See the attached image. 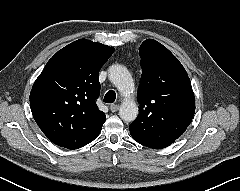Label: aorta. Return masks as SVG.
I'll use <instances>...</instances> for the list:
<instances>
[{
  "label": "aorta",
  "instance_id": "aorta-1",
  "mask_svg": "<svg viewBox=\"0 0 240 191\" xmlns=\"http://www.w3.org/2000/svg\"><path fill=\"white\" fill-rule=\"evenodd\" d=\"M109 80L115 85L119 92L125 97L119 109V116L125 122H132L137 118L138 107L128 97L133 91V79L125 66L114 64L108 70Z\"/></svg>",
  "mask_w": 240,
  "mask_h": 191
}]
</instances>
